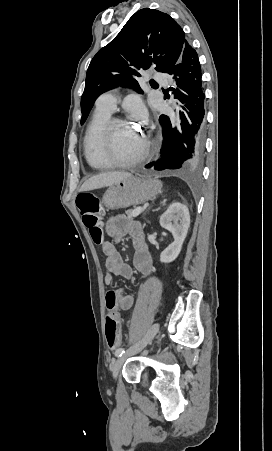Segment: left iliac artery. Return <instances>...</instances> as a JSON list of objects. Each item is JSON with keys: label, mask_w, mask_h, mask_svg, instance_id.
Masks as SVG:
<instances>
[{"label": "left iliac artery", "mask_w": 272, "mask_h": 451, "mask_svg": "<svg viewBox=\"0 0 272 451\" xmlns=\"http://www.w3.org/2000/svg\"><path fill=\"white\" fill-rule=\"evenodd\" d=\"M125 353V350L123 348H119L116 350L115 355L117 357H121Z\"/></svg>", "instance_id": "obj_1"}]
</instances>
